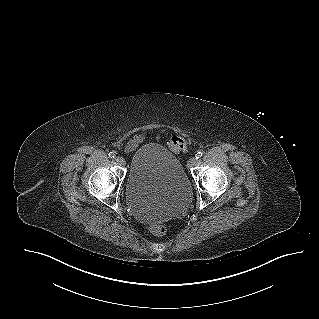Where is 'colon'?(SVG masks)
<instances>
[{
  "label": "colon",
  "instance_id": "obj_1",
  "mask_svg": "<svg viewBox=\"0 0 319 319\" xmlns=\"http://www.w3.org/2000/svg\"><path fill=\"white\" fill-rule=\"evenodd\" d=\"M187 146V141L180 136H173L169 140V147L176 151L180 152ZM145 231L151 235L161 236L164 235L167 231V226L165 224H151L145 227Z\"/></svg>",
  "mask_w": 319,
  "mask_h": 319
}]
</instances>
